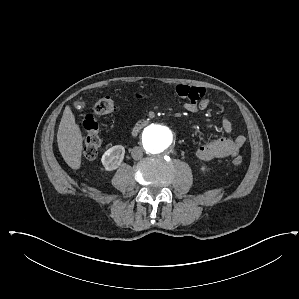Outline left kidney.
I'll use <instances>...</instances> for the list:
<instances>
[{
  "label": "left kidney",
  "mask_w": 299,
  "mask_h": 299,
  "mask_svg": "<svg viewBox=\"0 0 299 299\" xmlns=\"http://www.w3.org/2000/svg\"><path fill=\"white\" fill-rule=\"evenodd\" d=\"M201 170L204 172L206 170V167L205 166H202L201 167Z\"/></svg>",
  "instance_id": "1"
}]
</instances>
